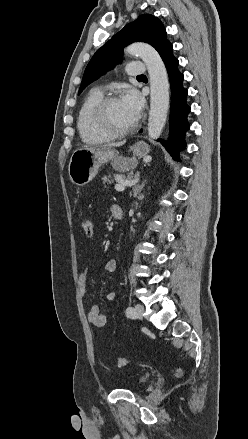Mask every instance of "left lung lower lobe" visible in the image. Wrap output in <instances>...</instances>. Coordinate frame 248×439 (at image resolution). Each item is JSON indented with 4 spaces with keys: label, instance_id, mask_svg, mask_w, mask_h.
<instances>
[{
    "label": "left lung lower lobe",
    "instance_id": "0a47b994",
    "mask_svg": "<svg viewBox=\"0 0 248 439\" xmlns=\"http://www.w3.org/2000/svg\"><path fill=\"white\" fill-rule=\"evenodd\" d=\"M172 44H168L160 56L166 66L170 87H171V108L169 117V142L160 139V142L168 149L169 153L175 160L178 159L180 150L185 149L186 143L184 142L185 132L189 129V123L187 121L190 107L186 102L188 90L182 85L184 75L179 72V61L174 57Z\"/></svg>",
    "mask_w": 248,
    "mask_h": 439
}]
</instances>
